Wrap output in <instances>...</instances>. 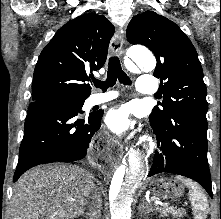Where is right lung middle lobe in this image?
Here are the masks:
<instances>
[{"label":"right lung middle lobe","instance_id":"1","mask_svg":"<svg viewBox=\"0 0 221 219\" xmlns=\"http://www.w3.org/2000/svg\"><path fill=\"white\" fill-rule=\"evenodd\" d=\"M50 101H75L76 107L81 111L84 99H77V98H56V99H50V100H44L40 102H50Z\"/></svg>","mask_w":221,"mask_h":219}]
</instances>
